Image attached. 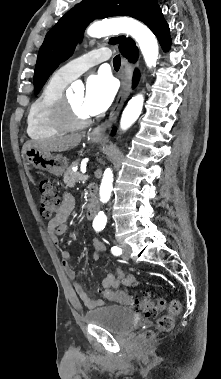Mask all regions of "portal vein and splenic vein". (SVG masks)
I'll return each mask as SVG.
<instances>
[{
	"label": "portal vein and splenic vein",
	"mask_w": 221,
	"mask_h": 379,
	"mask_svg": "<svg viewBox=\"0 0 221 379\" xmlns=\"http://www.w3.org/2000/svg\"><path fill=\"white\" fill-rule=\"evenodd\" d=\"M81 173L83 174V177H86V175H85V173H86V169L81 170Z\"/></svg>",
	"instance_id": "1"
}]
</instances>
